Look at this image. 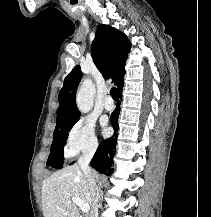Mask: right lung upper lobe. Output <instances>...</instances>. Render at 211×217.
Instances as JSON below:
<instances>
[{"label":"right lung upper lobe","mask_w":211,"mask_h":217,"mask_svg":"<svg viewBox=\"0 0 211 217\" xmlns=\"http://www.w3.org/2000/svg\"><path fill=\"white\" fill-rule=\"evenodd\" d=\"M130 42L126 35L109 25L101 24L92 42L93 61L105 79L112 78L118 90L123 87L124 65L130 51ZM82 77L77 65L65 78L59 93L56 128L79 119L76 107V90Z\"/></svg>","instance_id":"1"}]
</instances>
